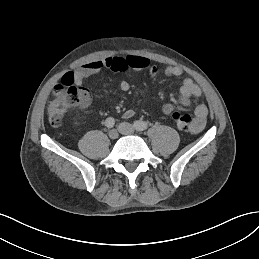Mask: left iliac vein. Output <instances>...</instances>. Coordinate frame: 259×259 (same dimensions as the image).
<instances>
[{
  "mask_svg": "<svg viewBox=\"0 0 259 259\" xmlns=\"http://www.w3.org/2000/svg\"><path fill=\"white\" fill-rule=\"evenodd\" d=\"M118 131L123 135H132L135 133V127L129 123L123 122L118 125Z\"/></svg>",
  "mask_w": 259,
  "mask_h": 259,
  "instance_id": "obj_1",
  "label": "left iliac vein"
}]
</instances>
